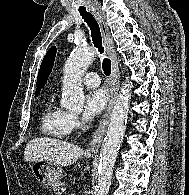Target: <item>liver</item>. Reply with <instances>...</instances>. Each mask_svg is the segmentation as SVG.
Instances as JSON below:
<instances>
[{
	"label": "liver",
	"instance_id": "1",
	"mask_svg": "<svg viewBox=\"0 0 189 195\" xmlns=\"http://www.w3.org/2000/svg\"><path fill=\"white\" fill-rule=\"evenodd\" d=\"M82 148L72 143L53 138H34L25 148L24 159L35 162L42 159L56 162L60 166H68L81 158Z\"/></svg>",
	"mask_w": 189,
	"mask_h": 195
}]
</instances>
